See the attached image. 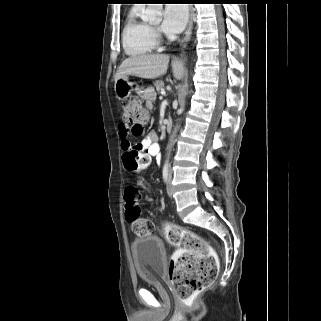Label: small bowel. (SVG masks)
I'll return each instance as SVG.
<instances>
[{
    "mask_svg": "<svg viewBox=\"0 0 321 321\" xmlns=\"http://www.w3.org/2000/svg\"><path fill=\"white\" fill-rule=\"evenodd\" d=\"M143 97L147 102H151L152 97L148 93H144ZM130 130L125 124H120L119 126V136L121 138V148L123 150V155L127 153L138 150L149 157L157 156L159 152L158 147V135L155 131L151 130L146 133L145 137L136 145H132L129 140Z\"/></svg>",
    "mask_w": 321,
    "mask_h": 321,
    "instance_id": "small-bowel-1",
    "label": "small bowel"
}]
</instances>
